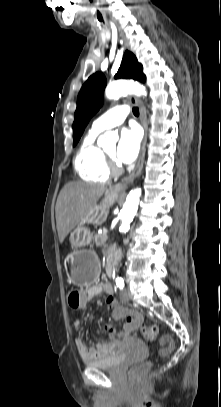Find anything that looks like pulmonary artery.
<instances>
[{
  "mask_svg": "<svg viewBox=\"0 0 221 407\" xmlns=\"http://www.w3.org/2000/svg\"><path fill=\"white\" fill-rule=\"evenodd\" d=\"M128 114L129 108L127 105L113 107L93 122L91 130L100 133L116 127L124 122Z\"/></svg>",
  "mask_w": 221,
  "mask_h": 407,
  "instance_id": "obj_1",
  "label": "pulmonary artery"
}]
</instances>
